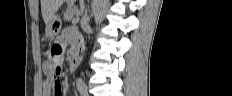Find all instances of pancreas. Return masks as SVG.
<instances>
[{
	"instance_id": "cf45deb5",
	"label": "pancreas",
	"mask_w": 232,
	"mask_h": 96,
	"mask_svg": "<svg viewBox=\"0 0 232 96\" xmlns=\"http://www.w3.org/2000/svg\"><path fill=\"white\" fill-rule=\"evenodd\" d=\"M81 11L74 5H69L63 15L65 21H71L75 16H79Z\"/></svg>"
}]
</instances>
